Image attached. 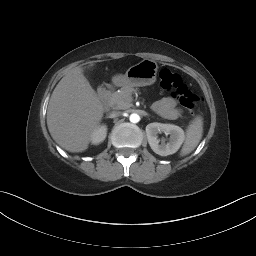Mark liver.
Segmentation results:
<instances>
[{
  "instance_id": "liver-1",
  "label": "liver",
  "mask_w": 256,
  "mask_h": 256,
  "mask_svg": "<svg viewBox=\"0 0 256 256\" xmlns=\"http://www.w3.org/2000/svg\"><path fill=\"white\" fill-rule=\"evenodd\" d=\"M103 113V105L84 76L83 68L75 67L60 80L51 95L47 109L48 130L63 149L84 152Z\"/></svg>"
}]
</instances>
